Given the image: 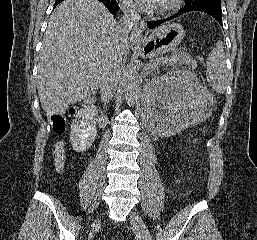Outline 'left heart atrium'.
<instances>
[{
    "instance_id": "1",
    "label": "left heart atrium",
    "mask_w": 257,
    "mask_h": 240,
    "mask_svg": "<svg viewBox=\"0 0 257 240\" xmlns=\"http://www.w3.org/2000/svg\"><path fill=\"white\" fill-rule=\"evenodd\" d=\"M136 5L146 11H152L156 9L162 0H133Z\"/></svg>"
}]
</instances>
